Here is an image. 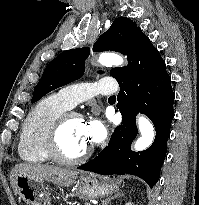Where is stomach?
Listing matches in <instances>:
<instances>
[{"instance_id":"0dacf381","label":"stomach","mask_w":199,"mask_h":205,"mask_svg":"<svg viewBox=\"0 0 199 205\" xmlns=\"http://www.w3.org/2000/svg\"><path fill=\"white\" fill-rule=\"evenodd\" d=\"M16 190L19 197L28 205H51L50 194L44 186L43 180L19 174L16 178ZM76 194L82 198L95 199L113 193L117 186L107 177H98L94 174L81 175L75 181Z\"/></svg>"}]
</instances>
